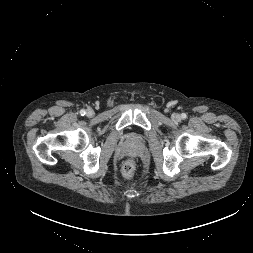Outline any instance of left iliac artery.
I'll use <instances>...</instances> for the list:
<instances>
[{
	"label": "left iliac artery",
	"instance_id": "obj_1",
	"mask_svg": "<svg viewBox=\"0 0 253 253\" xmlns=\"http://www.w3.org/2000/svg\"><path fill=\"white\" fill-rule=\"evenodd\" d=\"M181 117H182L183 119H185L187 116H186L185 113H182V114H181Z\"/></svg>",
	"mask_w": 253,
	"mask_h": 253
}]
</instances>
